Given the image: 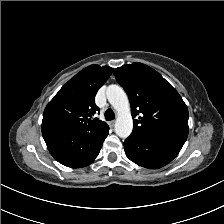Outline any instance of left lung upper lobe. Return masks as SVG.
Returning <instances> with one entry per match:
<instances>
[{"mask_svg":"<svg viewBox=\"0 0 224 224\" xmlns=\"http://www.w3.org/2000/svg\"><path fill=\"white\" fill-rule=\"evenodd\" d=\"M114 75L130 100L132 133L183 146L189 131V113L178 92L157 71L142 63L123 65L115 69Z\"/></svg>","mask_w":224,"mask_h":224,"instance_id":"5c2ea615","label":"left lung upper lobe"}]
</instances>
